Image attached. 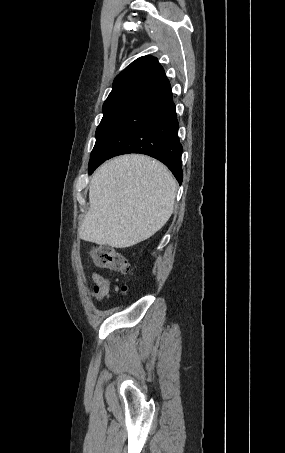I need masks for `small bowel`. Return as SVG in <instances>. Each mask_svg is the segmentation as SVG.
Returning a JSON list of instances; mask_svg holds the SVG:
<instances>
[{
	"label": "small bowel",
	"instance_id": "small-bowel-1",
	"mask_svg": "<svg viewBox=\"0 0 285 453\" xmlns=\"http://www.w3.org/2000/svg\"><path fill=\"white\" fill-rule=\"evenodd\" d=\"M92 280L94 287L90 292V296L97 301H101L110 290V282L107 278L97 273L92 275Z\"/></svg>",
	"mask_w": 285,
	"mask_h": 453
}]
</instances>
